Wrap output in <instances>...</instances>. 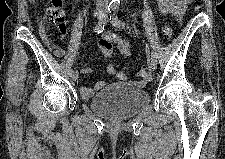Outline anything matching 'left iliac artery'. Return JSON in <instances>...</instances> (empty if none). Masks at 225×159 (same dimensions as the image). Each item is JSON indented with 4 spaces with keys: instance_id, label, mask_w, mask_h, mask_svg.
Instances as JSON below:
<instances>
[{
    "instance_id": "left-iliac-artery-1",
    "label": "left iliac artery",
    "mask_w": 225,
    "mask_h": 159,
    "mask_svg": "<svg viewBox=\"0 0 225 159\" xmlns=\"http://www.w3.org/2000/svg\"><path fill=\"white\" fill-rule=\"evenodd\" d=\"M118 10H119V7H114V8L112 9V13H111V15H110L111 23H112L114 26H116V27H119V26H123V27H124V26L126 25V23L123 22V21H121V20L118 18V16H117ZM151 56H152V57H156V55H155L154 52H151Z\"/></svg>"
}]
</instances>
